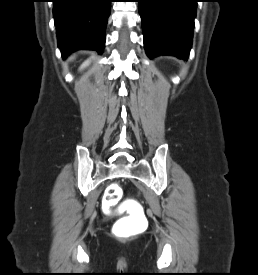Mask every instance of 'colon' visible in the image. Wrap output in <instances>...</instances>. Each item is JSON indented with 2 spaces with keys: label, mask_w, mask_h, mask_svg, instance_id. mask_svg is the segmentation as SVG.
Wrapping results in <instances>:
<instances>
[{
  "label": "colon",
  "mask_w": 258,
  "mask_h": 275,
  "mask_svg": "<svg viewBox=\"0 0 258 275\" xmlns=\"http://www.w3.org/2000/svg\"><path fill=\"white\" fill-rule=\"evenodd\" d=\"M122 190L117 185H112L107 190L106 200L107 201H117L121 197ZM121 235H125V232L122 231Z\"/></svg>",
  "instance_id": "obj_1"
}]
</instances>
